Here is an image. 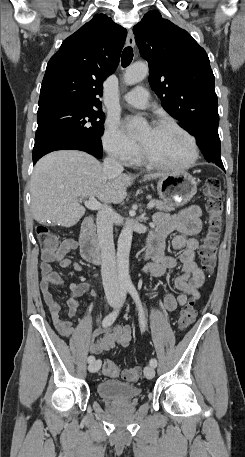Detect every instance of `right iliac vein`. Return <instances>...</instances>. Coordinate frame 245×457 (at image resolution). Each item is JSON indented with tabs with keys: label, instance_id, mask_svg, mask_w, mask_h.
I'll list each match as a JSON object with an SVG mask.
<instances>
[{
	"label": "right iliac vein",
	"instance_id": "right-iliac-vein-1",
	"mask_svg": "<svg viewBox=\"0 0 245 457\" xmlns=\"http://www.w3.org/2000/svg\"><path fill=\"white\" fill-rule=\"evenodd\" d=\"M118 303V298L116 296H111L110 299H109V304L111 307H114L116 306ZM101 367V360L98 359L96 361H93L92 363L89 364L88 366V370L89 372L91 373H95L99 370V368Z\"/></svg>",
	"mask_w": 245,
	"mask_h": 457
}]
</instances>
